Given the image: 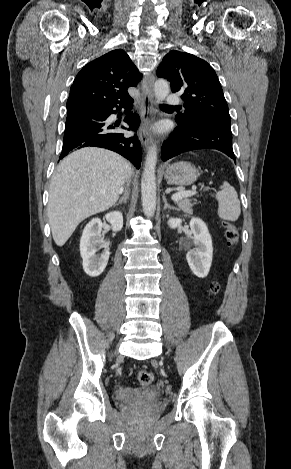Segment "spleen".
Returning <instances> with one entry per match:
<instances>
[{"label":"spleen","instance_id":"3e777b00","mask_svg":"<svg viewBox=\"0 0 291 469\" xmlns=\"http://www.w3.org/2000/svg\"><path fill=\"white\" fill-rule=\"evenodd\" d=\"M216 198L219 205V217L224 220L236 221L241 213L236 190L228 182H224L221 190L216 194Z\"/></svg>","mask_w":291,"mask_h":469}]
</instances>
